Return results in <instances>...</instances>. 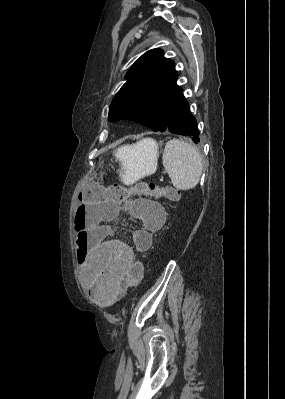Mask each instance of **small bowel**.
Wrapping results in <instances>:
<instances>
[{
  "label": "small bowel",
  "mask_w": 285,
  "mask_h": 399,
  "mask_svg": "<svg viewBox=\"0 0 285 399\" xmlns=\"http://www.w3.org/2000/svg\"><path fill=\"white\" fill-rule=\"evenodd\" d=\"M128 211L141 224L130 235L133 246L107 236L101 230L76 229L77 255L83 258L81 274L87 280L89 290L106 307L113 305L134 284L130 267L135 253H146L152 244V236L160 231L166 219L164 210L153 203L134 206ZM101 212V207L95 206L91 210L93 215L99 216Z\"/></svg>",
  "instance_id": "obj_1"
}]
</instances>
